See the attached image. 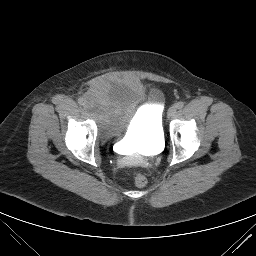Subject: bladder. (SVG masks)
I'll return each mask as SVG.
<instances>
[{
    "instance_id": "bladder-1",
    "label": "bladder",
    "mask_w": 256,
    "mask_h": 256,
    "mask_svg": "<svg viewBox=\"0 0 256 256\" xmlns=\"http://www.w3.org/2000/svg\"><path fill=\"white\" fill-rule=\"evenodd\" d=\"M86 98V108L101 138L124 135L128 145L145 149H155L162 144L164 97L161 90L148 89L136 80L104 78Z\"/></svg>"
}]
</instances>
